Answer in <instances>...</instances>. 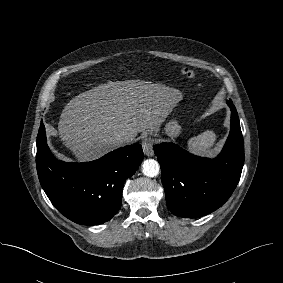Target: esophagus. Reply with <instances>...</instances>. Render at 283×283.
Returning a JSON list of instances; mask_svg holds the SVG:
<instances>
[{"label": "esophagus", "mask_w": 283, "mask_h": 283, "mask_svg": "<svg viewBox=\"0 0 283 283\" xmlns=\"http://www.w3.org/2000/svg\"><path fill=\"white\" fill-rule=\"evenodd\" d=\"M153 139L148 137V138H145L143 141H142V148H143V151H144V154L146 156H153L154 155V151H153Z\"/></svg>", "instance_id": "obj_1"}]
</instances>
